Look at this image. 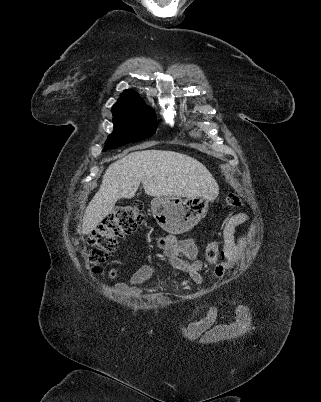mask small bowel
<instances>
[{
    "label": "small bowel",
    "mask_w": 321,
    "mask_h": 402,
    "mask_svg": "<svg viewBox=\"0 0 321 402\" xmlns=\"http://www.w3.org/2000/svg\"><path fill=\"white\" fill-rule=\"evenodd\" d=\"M247 221L248 215L245 212L235 213L226 220L223 228L224 260L213 268L211 272L213 278L223 276L229 265L239 257L241 248L247 239L245 236H236V230ZM157 244L170 267L187 274L195 283L202 282L201 272L206 268V263L200 258L199 248L194 239H178L172 235H166L160 237ZM154 271L153 265H146L133 275L130 284H116L114 290L116 292L132 291ZM116 274L115 268L108 270L110 278H114ZM208 308L213 310L215 305L210 303ZM233 308L236 310L235 317L237 320H230L227 324H215L212 320L189 321L186 329L187 334L197 335V342L201 343L203 347H218L219 338L224 339L227 335H239L242 329H247L249 326L246 320L248 305L246 303L242 305L235 303ZM207 328L212 330H207Z\"/></svg>",
    "instance_id": "obj_1"
}]
</instances>
